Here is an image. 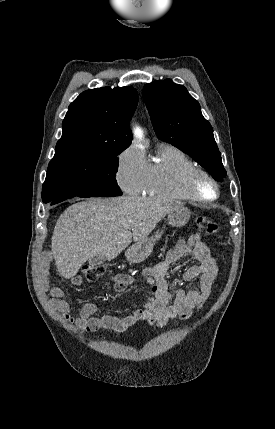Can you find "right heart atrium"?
<instances>
[{
    "label": "right heart atrium",
    "mask_w": 275,
    "mask_h": 429,
    "mask_svg": "<svg viewBox=\"0 0 275 429\" xmlns=\"http://www.w3.org/2000/svg\"><path fill=\"white\" fill-rule=\"evenodd\" d=\"M147 174V162L137 149L127 147L117 155L115 177L124 192L131 195L144 192Z\"/></svg>",
    "instance_id": "1"
}]
</instances>
